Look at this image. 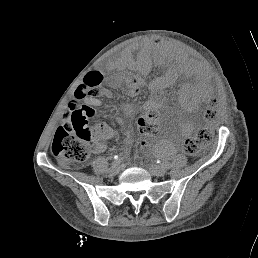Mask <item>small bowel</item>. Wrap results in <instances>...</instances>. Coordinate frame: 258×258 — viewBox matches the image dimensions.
Listing matches in <instances>:
<instances>
[{
  "instance_id": "small-bowel-1",
  "label": "small bowel",
  "mask_w": 258,
  "mask_h": 258,
  "mask_svg": "<svg viewBox=\"0 0 258 258\" xmlns=\"http://www.w3.org/2000/svg\"><path fill=\"white\" fill-rule=\"evenodd\" d=\"M88 115H92V109L90 107L85 109ZM99 134L98 136L95 138L96 143H95V151H103L106 149L107 145H106V141L111 137V132L109 131V129L107 127H97ZM173 149V147L171 146H165L164 150L170 152Z\"/></svg>"
}]
</instances>
